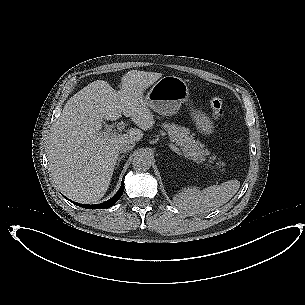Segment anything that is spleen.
<instances>
[{
  "instance_id": "spleen-1",
  "label": "spleen",
  "mask_w": 305,
  "mask_h": 305,
  "mask_svg": "<svg viewBox=\"0 0 305 305\" xmlns=\"http://www.w3.org/2000/svg\"><path fill=\"white\" fill-rule=\"evenodd\" d=\"M234 180L203 190L197 187L184 188L174 198L176 205L191 214H205L221 207L231 199L230 187Z\"/></svg>"
}]
</instances>
